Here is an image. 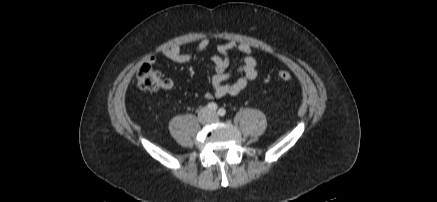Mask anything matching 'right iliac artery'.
I'll list each match as a JSON object with an SVG mask.
<instances>
[{
	"instance_id": "82829eb1",
	"label": "right iliac artery",
	"mask_w": 437,
	"mask_h": 202,
	"mask_svg": "<svg viewBox=\"0 0 437 202\" xmlns=\"http://www.w3.org/2000/svg\"><path fill=\"white\" fill-rule=\"evenodd\" d=\"M207 107L211 111H216L217 108H218V105L216 103H214V102H210V103H208Z\"/></svg>"
}]
</instances>
